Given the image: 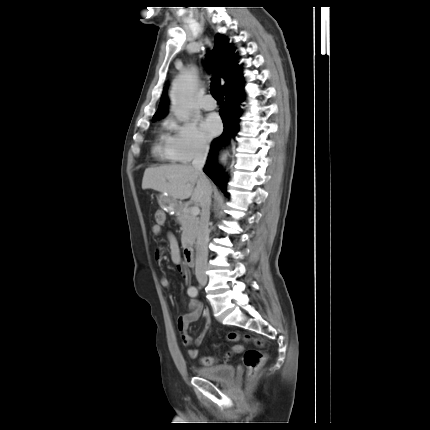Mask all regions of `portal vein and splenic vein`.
I'll list each match as a JSON object with an SVG mask.
<instances>
[{"mask_svg": "<svg viewBox=\"0 0 430 430\" xmlns=\"http://www.w3.org/2000/svg\"><path fill=\"white\" fill-rule=\"evenodd\" d=\"M199 212H200V209H199L197 206H193V207H191V213H192L194 216H197V215L199 214Z\"/></svg>", "mask_w": 430, "mask_h": 430, "instance_id": "portal-vein-and-splenic-vein-1", "label": "portal vein and splenic vein"}]
</instances>
